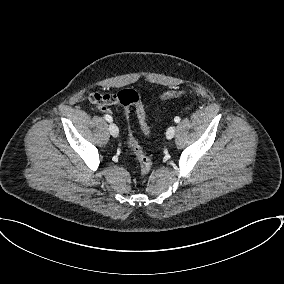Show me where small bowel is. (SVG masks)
Listing matches in <instances>:
<instances>
[{"label": "small bowel", "mask_w": 284, "mask_h": 284, "mask_svg": "<svg viewBox=\"0 0 284 284\" xmlns=\"http://www.w3.org/2000/svg\"><path fill=\"white\" fill-rule=\"evenodd\" d=\"M88 100L95 108L103 113H111L109 106L119 105L118 94L92 92L88 95Z\"/></svg>", "instance_id": "small-bowel-1"}]
</instances>
